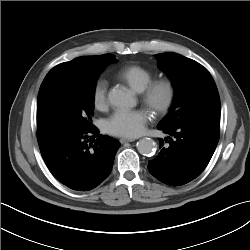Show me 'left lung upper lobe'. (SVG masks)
Segmentation results:
<instances>
[{
    "instance_id": "left-lung-upper-lobe-1",
    "label": "left lung upper lobe",
    "mask_w": 250,
    "mask_h": 250,
    "mask_svg": "<svg viewBox=\"0 0 250 250\" xmlns=\"http://www.w3.org/2000/svg\"><path fill=\"white\" fill-rule=\"evenodd\" d=\"M159 68L171 78L175 97L169 113L158 126L176 128L189 120L220 116L216 84L206 68L174 52L157 54Z\"/></svg>"
}]
</instances>
